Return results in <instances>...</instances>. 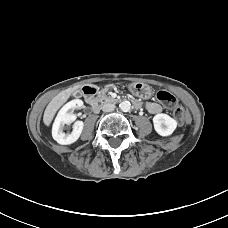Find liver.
I'll return each mask as SVG.
<instances>
[{"label":"liver","mask_w":228,"mask_h":228,"mask_svg":"<svg viewBox=\"0 0 228 228\" xmlns=\"http://www.w3.org/2000/svg\"><path fill=\"white\" fill-rule=\"evenodd\" d=\"M79 87H73L66 89L57 94L48 104L45 109L43 122L46 126H49L54 118L56 111L68 100L71 94L77 91Z\"/></svg>","instance_id":"6515ba94"}]
</instances>
